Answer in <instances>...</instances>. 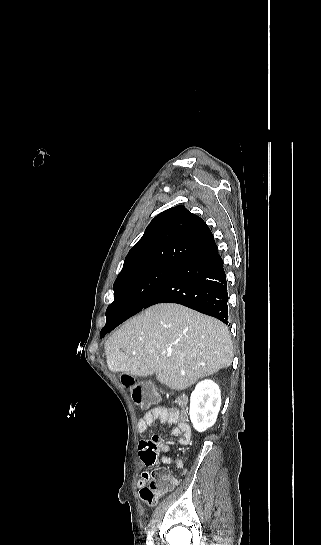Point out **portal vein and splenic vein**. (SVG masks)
Instances as JSON below:
<instances>
[{"mask_svg":"<svg viewBox=\"0 0 321 545\" xmlns=\"http://www.w3.org/2000/svg\"><path fill=\"white\" fill-rule=\"evenodd\" d=\"M167 353H168V355H172V351H170V349H169V351H167Z\"/></svg>","mask_w":321,"mask_h":545,"instance_id":"portal-vein-and-splenic-vein-1","label":"portal vein and splenic vein"}]
</instances>
